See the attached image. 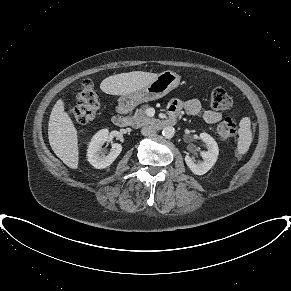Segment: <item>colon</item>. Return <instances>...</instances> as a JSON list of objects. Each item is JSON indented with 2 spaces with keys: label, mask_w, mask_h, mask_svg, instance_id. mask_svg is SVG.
Masks as SVG:
<instances>
[{
  "label": "colon",
  "mask_w": 291,
  "mask_h": 291,
  "mask_svg": "<svg viewBox=\"0 0 291 291\" xmlns=\"http://www.w3.org/2000/svg\"><path fill=\"white\" fill-rule=\"evenodd\" d=\"M231 97L223 88H215L212 91L210 104L215 110H223L231 105ZM100 109V100L93 83L85 80L77 95V103L69 110L71 118L80 124H85L93 120ZM217 134L228 139L236 134V123L232 118L223 119L217 126Z\"/></svg>",
  "instance_id": "obj_1"
}]
</instances>
